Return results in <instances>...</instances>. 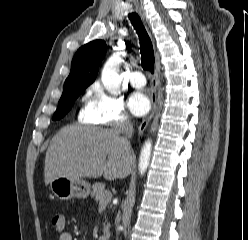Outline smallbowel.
<instances>
[{
  "instance_id": "obj_1",
  "label": "small bowel",
  "mask_w": 248,
  "mask_h": 240,
  "mask_svg": "<svg viewBox=\"0 0 248 240\" xmlns=\"http://www.w3.org/2000/svg\"><path fill=\"white\" fill-rule=\"evenodd\" d=\"M58 240H73V236L70 232L65 231L59 235Z\"/></svg>"
}]
</instances>
